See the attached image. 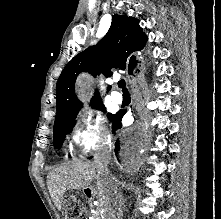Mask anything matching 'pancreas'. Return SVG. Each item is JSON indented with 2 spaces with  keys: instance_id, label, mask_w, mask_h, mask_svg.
Returning <instances> with one entry per match:
<instances>
[{
  "instance_id": "1",
  "label": "pancreas",
  "mask_w": 221,
  "mask_h": 219,
  "mask_svg": "<svg viewBox=\"0 0 221 219\" xmlns=\"http://www.w3.org/2000/svg\"><path fill=\"white\" fill-rule=\"evenodd\" d=\"M92 216H93V219H100L99 211H96Z\"/></svg>"
}]
</instances>
